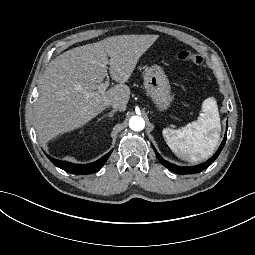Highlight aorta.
Returning <instances> with one entry per match:
<instances>
[{
    "label": "aorta",
    "mask_w": 255,
    "mask_h": 255,
    "mask_svg": "<svg viewBox=\"0 0 255 255\" xmlns=\"http://www.w3.org/2000/svg\"><path fill=\"white\" fill-rule=\"evenodd\" d=\"M129 127L134 131H141L145 127V121L140 116H133L129 120Z\"/></svg>",
    "instance_id": "aorta-1"
}]
</instances>
